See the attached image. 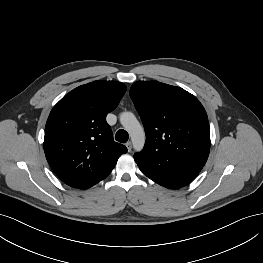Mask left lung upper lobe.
Masks as SVG:
<instances>
[{"instance_id": "5c2ea615", "label": "left lung upper lobe", "mask_w": 263, "mask_h": 263, "mask_svg": "<svg viewBox=\"0 0 263 263\" xmlns=\"http://www.w3.org/2000/svg\"><path fill=\"white\" fill-rule=\"evenodd\" d=\"M129 94L147 137L143 150L134 156L151 162L174 161L201 171L210 151V129L198 99L157 81L135 82Z\"/></svg>"}]
</instances>
